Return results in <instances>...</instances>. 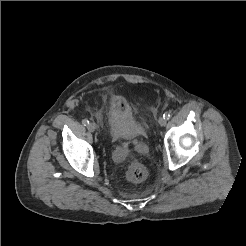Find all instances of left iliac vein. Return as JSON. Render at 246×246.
Wrapping results in <instances>:
<instances>
[{"label":"left iliac vein","mask_w":246,"mask_h":246,"mask_svg":"<svg viewBox=\"0 0 246 246\" xmlns=\"http://www.w3.org/2000/svg\"><path fill=\"white\" fill-rule=\"evenodd\" d=\"M158 123L160 126H165L167 123V120L164 117H160L158 120Z\"/></svg>","instance_id":"1"}]
</instances>
